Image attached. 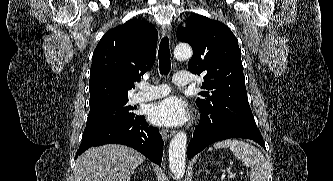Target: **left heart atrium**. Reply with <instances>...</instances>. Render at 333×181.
Listing matches in <instances>:
<instances>
[{"label":"left heart atrium","instance_id":"39dd6f15","mask_svg":"<svg viewBox=\"0 0 333 181\" xmlns=\"http://www.w3.org/2000/svg\"><path fill=\"white\" fill-rule=\"evenodd\" d=\"M186 104L178 97L171 96L153 104L149 111V120L159 126H178L188 119Z\"/></svg>","mask_w":333,"mask_h":181}]
</instances>
